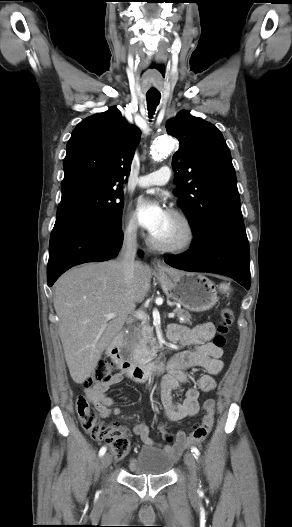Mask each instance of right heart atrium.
Returning a JSON list of instances; mask_svg holds the SVG:
<instances>
[{
  "label": "right heart atrium",
  "mask_w": 292,
  "mask_h": 527,
  "mask_svg": "<svg viewBox=\"0 0 292 527\" xmlns=\"http://www.w3.org/2000/svg\"><path fill=\"white\" fill-rule=\"evenodd\" d=\"M137 230L138 227L135 218L132 215H128L124 228L125 238L133 240L137 235Z\"/></svg>",
  "instance_id": "1"
}]
</instances>
